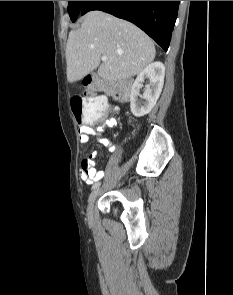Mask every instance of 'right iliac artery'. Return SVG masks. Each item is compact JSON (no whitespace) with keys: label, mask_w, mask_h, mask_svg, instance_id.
I'll return each instance as SVG.
<instances>
[{"label":"right iliac artery","mask_w":233,"mask_h":295,"mask_svg":"<svg viewBox=\"0 0 233 295\" xmlns=\"http://www.w3.org/2000/svg\"><path fill=\"white\" fill-rule=\"evenodd\" d=\"M100 178H98V180H99ZM97 181V180H96ZM98 186H100V183L99 182H97V183H95L93 186H92V189H95V188H97Z\"/></svg>","instance_id":"82829eb1"}]
</instances>
